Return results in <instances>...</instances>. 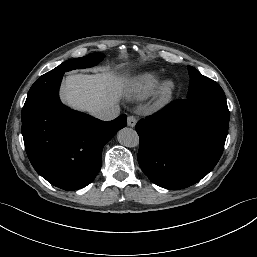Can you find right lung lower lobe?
Listing matches in <instances>:
<instances>
[{
  "label": "right lung lower lobe",
  "instance_id": "obj_1",
  "mask_svg": "<svg viewBox=\"0 0 257 257\" xmlns=\"http://www.w3.org/2000/svg\"><path fill=\"white\" fill-rule=\"evenodd\" d=\"M64 73L41 76L22 109V135L28 158L44 179L64 190L87 186L102 165V148L127 125V116L101 121L62 105Z\"/></svg>",
  "mask_w": 257,
  "mask_h": 257
}]
</instances>
